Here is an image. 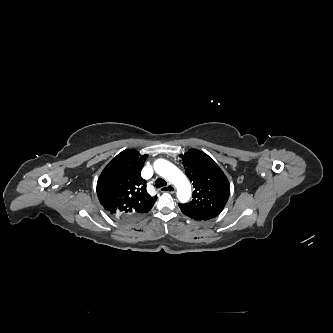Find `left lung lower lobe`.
Instances as JSON below:
<instances>
[{"label":"left lung lower lobe","mask_w":333,"mask_h":333,"mask_svg":"<svg viewBox=\"0 0 333 333\" xmlns=\"http://www.w3.org/2000/svg\"><path fill=\"white\" fill-rule=\"evenodd\" d=\"M179 208L186 216L194 219V220H208L214 218L216 215L213 213H198L192 210L186 209L185 207L179 205Z\"/></svg>","instance_id":"0a47b994"}]
</instances>
